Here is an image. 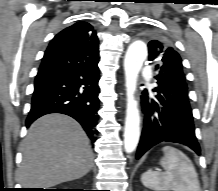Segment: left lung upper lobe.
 <instances>
[{
    "mask_svg": "<svg viewBox=\"0 0 218 191\" xmlns=\"http://www.w3.org/2000/svg\"><path fill=\"white\" fill-rule=\"evenodd\" d=\"M150 64L158 71L157 84L166 94H178L188 98L182 60L179 54L167 43L151 40L148 44Z\"/></svg>",
    "mask_w": 218,
    "mask_h": 191,
    "instance_id": "5c2ea615",
    "label": "left lung upper lobe"
}]
</instances>
